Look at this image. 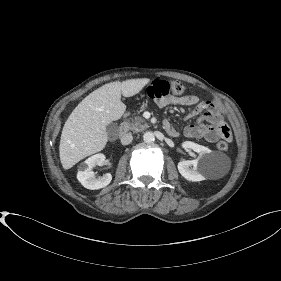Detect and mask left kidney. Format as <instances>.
I'll return each instance as SVG.
<instances>
[{"label": "left kidney", "instance_id": "1", "mask_svg": "<svg viewBox=\"0 0 281 281\" xmlns=\"http://www.w3.org/2000/svg\"><path fill=\"white\" fill-rule=\"evenodd\" d=\"M183 148H190L199 154L197 159L192 161H180L178 163L179 173L188 181L197 182L205 180L210 172V152L211 150L205 146L196 144L191 141H185ZM193 166V168H190Z\"/></svg>", "mask_w": 281, "mask_h": 281}]
</instances>
